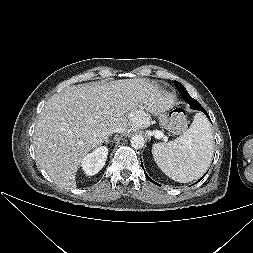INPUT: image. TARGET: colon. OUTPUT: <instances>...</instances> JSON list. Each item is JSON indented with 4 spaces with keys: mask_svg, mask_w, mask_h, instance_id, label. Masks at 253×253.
Wrapping results in <instances>:
<instances>
[{
    "mask_svg": "<svg viewBox=\"0 0 253 253\" xmlns=\"http://www.w3.org/2000/svg\"><path fill=\"white\" fill-rule=\"evenodd\" d=\"M186 126L187 119L184 111L180 108L173 110L169 115L168 128L174 133H179L185 130Z\"/></svg>",
    "mask_w": 253,
    "mask_h": 253,
    "instance_id": "obj_1",
    "label": "colon"
}]
</instances>
